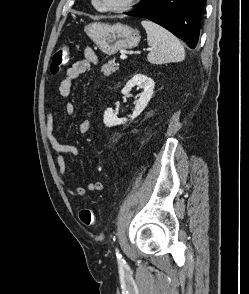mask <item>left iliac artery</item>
Masks as SVG:
<instances>
[{
    "mask_svg": "<svg viewBox=\"0 0 249 294\" xmlns=\"http://www.w3.org/2000/svg\"><path fill=\"white\" fill-rule=\"evenodd\" d=\"M116 257H117V260H118V263L119 264L124 263V260L122 258V255L119 253V250L117 248H116Z\"/></svg>",
    "mask_w": 249,
    "mask_h": 294,
    "instance_id": "left-iliac-artery-1",
    "label": "left iliac artery"
}]
</instances>
